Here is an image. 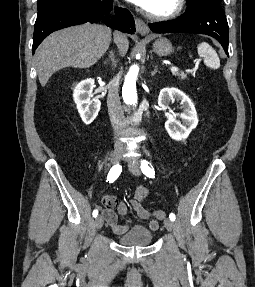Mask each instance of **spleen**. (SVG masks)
<instances>
[{
	"label": "spleen",
	"mask_w": 255,
	"mask_h": 287,
	"mask_svg": "<svg viewBox=\"0 0 255 287\" xmlns=\"http://www.w3.org/2000/svg\"><path fill=\"white\" fill-rule=\"evenodd\" d=\"M198 52L200 56L204 58V62L208 68H213V70L220 68V60L215 50H213L209 44H206V42L200 44V46H198Z\"/></svg>",
	"instance_id": "1"
}]
</instances>
